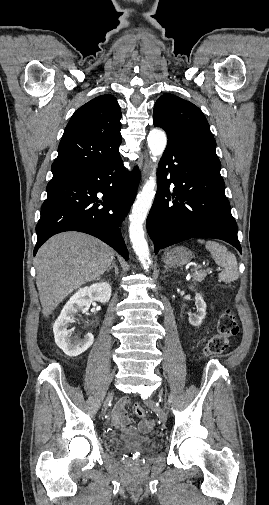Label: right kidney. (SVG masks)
I'll list each match as a JSON object with an SVG mask.
<instances>
[{
	"mask_svg": "<svg viewBox=\"0 0 269 505\" xmlns=\"http://www.w3.org/2000/svg\"><path fill=\"white\" fill-rule=\"evenodd\" d=\"M110 297V284L100 282L79 289L66 303L53 326L55 342L66 355L78 356L85 352L94 341V336L91 333L79 340L76 334L68 329L70 323L75 322V315L80 312L86 313L93 301L107 303Z\"/></svg>",
	"mask_w": 269,
	"mask_h": 505,
	"instance_id": "right-kidney-1",
	"label": "right kidney"
}]
</instances>
